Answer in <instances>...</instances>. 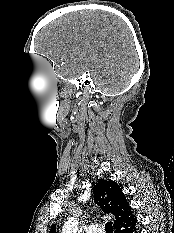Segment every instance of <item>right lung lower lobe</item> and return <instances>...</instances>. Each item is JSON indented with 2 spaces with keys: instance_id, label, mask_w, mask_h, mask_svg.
<instances>
[{
  "instance_id": "obj_1",
  "label": "right lung lower lobe",
  "mask_w": 174,
  "mask_h": 233,
  "mask_svg": "<svg viewBox=\"0 0 174 233\" xmlns=\"http://www.w3.org/2000/svg\"><path fill=\"white\" fill-rule=\"evenodd\" d=\"M123 233H138V232H137L136 224H134V225L131 226L130 228H128V229H126L125 231H123Z\"/></svg>"
}]
</instances>
